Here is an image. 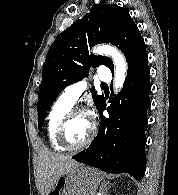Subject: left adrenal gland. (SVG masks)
Segmentation results:
<instances>
[{
  "label": "left adrenal gland",
  "instance_id": "left-adrenal-gland-1",
  "mask_svg": "<svg viewBox=\"0 0 178 195\" xmlns=\"http://www.w3.org/2000/svg\"><path fill=\"white\" fill-rule=\"evenodd\" d=\"M110 186H107V184H103L102 185V193L101 195H106V192H107V189L109 188Z\"/></svg>",
  "mask_w": 178,
  "mask_h": 195
}]
</instances>
